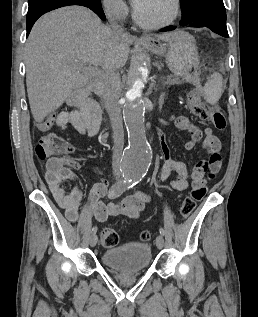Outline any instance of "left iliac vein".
<instances>
[{
    "label": "left iliac vein",
    "instance_id": "4c4485c4",
    "mask_svg": "<svg viewBox=\"0 0 258 317\" xmlns=\"http://www.w3.org/2000/svg\"><path fill=\"white\" fill-rule=\"evenodd\" d=\"M120 182L122 181L121 179L119 180ZM156 244H157V248L160 250L161 248H164L165 246V239L162 237V235H157V239H156Z\"/></svg>",
    "mask_w": 258,
    "mask_h": 317
}]
</instances>
